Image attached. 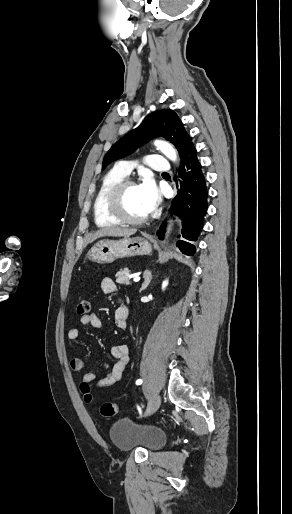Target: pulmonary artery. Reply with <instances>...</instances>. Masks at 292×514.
<instances>
[{
    "label": "pulmonary artery",
    "instance_id": "pulmonary-artery-1",
    "mask_svg": "<svg viewBox=\"0 0 292 514\" xmlns=\"http://www.w3.org/2000/svg\"><path fill=\"white\" fill-rule=\"evenodd\" d=\"M131 162L136 163L137 161L132 160ZM140 163L148 167L153 172H167L170 168V165L166 161V158L164 156H156L154 152H151L149 156L142 158L140 160ZM116 171L123 177L129 176L131 168L127 164V160L125 158H122L120 162L117 164Z\"/></svg>",
    "mask_w": 292,
    "mask_h": 514
}]
</instances>
